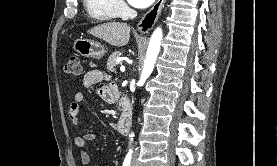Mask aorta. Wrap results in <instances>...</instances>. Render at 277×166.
Segmentation results:
<instances>
[{
    "instance_id": "762f6f07",
    "label": "aorta",
    "mask_w": 277,
    "mask_h": 166,
    "mask_svg": "<svg viewBox=\"0 0 277 166\" xmlns=\"http://www.w3.org/2000/svg\"><path fill=\"white\" fill-rule=\"evenodd\" d=\"M162 37H163L162 29L157 28L153 32V34L150 38V42H149L148 49L146 52V58L144 61L143 70H142L140 81H139L141 84H144V82L151 75V73L154 69L155 61H156L158 53L160 51ZM133 136H134L133 134L130 135V137H133Z\"/></svg>"
}]
</instances>
